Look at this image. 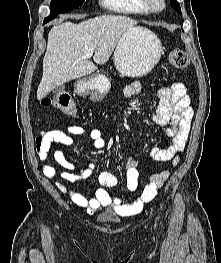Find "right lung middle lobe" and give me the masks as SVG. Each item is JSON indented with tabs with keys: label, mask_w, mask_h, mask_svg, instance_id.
<instances>
[{
	"label": "right lung middle lobe",
	"mask_w": 221,
	"mask_h": 263,
	"mask_svg": "<svg viewBox=\"0 0 221 263\" xmlns=\"http://www.w3.org/2000/svg\"><path fill=\"white\" fill-rule=\"evenodd\" d=\"M85 0H51L50 3V15L44 19V21L49 22L56 18L58 14L66 13L78 8L83 4Z\"/></svg>",
	"instance_id": "obj_1"
}]
</instances>
